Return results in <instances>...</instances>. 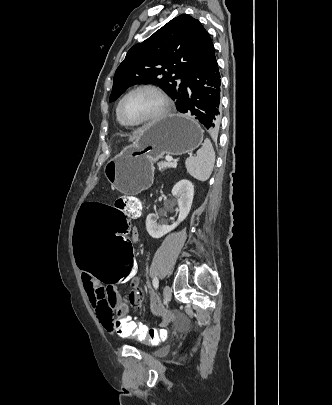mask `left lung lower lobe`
<instances>
[{
	"label": "left lung lower lobe",
	"mask_w": 332,
	"mask_h": 405,
	"mask_svg": "<svg viewBox=\"0 0 332 405\" xmlns=\"http://www.w3.org/2000/svg\"><path fill=\"white\" fill-rule=\"evenodd\" d=\"M221 79L214 46L189 76L187 92L176 101L177 110L199 120L216 133L221 120Z\"/></svg>",
	"instance_id": "1"
}]
</instances>
